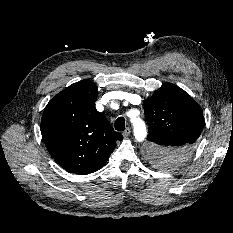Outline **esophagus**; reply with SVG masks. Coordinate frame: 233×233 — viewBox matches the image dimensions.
Wrapping results in <instances>:
<instances>
[{
	"label": "esophagus",
	"mask_w": 233,
	"mask_h": 233,
	"mask_svg": "<svg viewBox=\"0 0 233 233\" xmlns=\"http://www.w3.org/2000/svg\"><path fill=\"white\" fill-rule=\"evenodd\" d=\"M131 133V129L128 127L124 130V132L122 133L124 137H128Z\"/></svg>",
	"instance_id": "34e87169"
}]
</instances>
